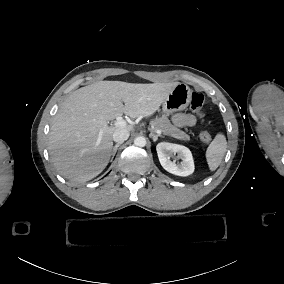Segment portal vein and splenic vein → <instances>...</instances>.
<instances>
[{"label": "portal vein and splenic vein", "instance_id": "1", "mask_svg": "<svg viewBox=\"0 0 284 284\" xmlns=\"http://www.w3.org/2000/svg\"><path fill=\"white\" fill-rule=\"evenodd\" d=\"M127 122L124 119H120L115 121L114 126L115 127H124L126 126ZM158 134H161V130L156 131Z\"/></svg>", "mask_w": 284, "mask_h": 284}]
</instances>
